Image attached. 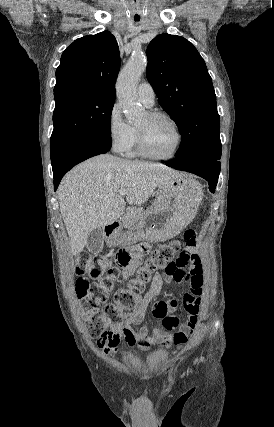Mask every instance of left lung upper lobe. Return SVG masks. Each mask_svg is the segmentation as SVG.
<instances>
[{
    "label": "left lung upper lobe",
    "mask_w": 274,
    "mask_h": 427,
    "mask_svg": "<svg viewBox=\"0 0 274 427\" xmlns=\"http://www.w3.org/2000/svg\"><path fill=\"white\" fill-rule=\"evenodd\" d=\"M146 54L147 79L182 137L176 157L221 147L216 95L194 45L183 37L161 34L150 42Z\"/></svg>",
    "instance_id": "1"
}]
</instances>
